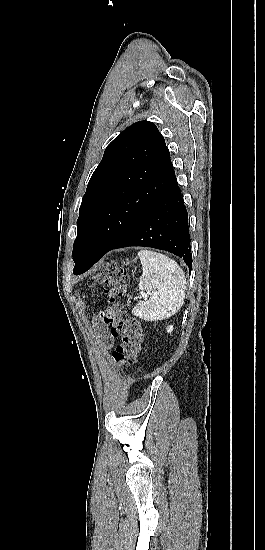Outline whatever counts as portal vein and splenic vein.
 <instances>
[{
	"mask_svg": "<svg viewBox=\"0 0 265 550\" xmlns=\"http://www.w3.org/2000/svg\"><path fill=\"white\" fill-rule=\"evenodd\" d=\"M142 296H143V297H147V295H146V294H142Z\"/></svg>",
	"mask_w": 265,
	"mask_h": 550,
	"instance_id": "18ae733b",
	"label": "portal vein and splenic vein"
}]
</instances>
